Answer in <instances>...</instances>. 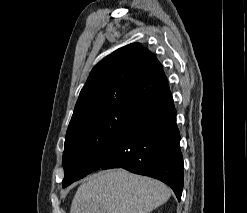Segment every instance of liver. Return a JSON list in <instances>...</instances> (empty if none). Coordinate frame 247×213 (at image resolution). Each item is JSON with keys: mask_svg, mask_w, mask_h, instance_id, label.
Instances as JSON below:
<instances>
[{"mask_svg": "<svg viewBox=\"0 0 247 213\" xmlns=\"http://www.w3.org/2000/svg\"><path fill=\"white\" fill-rule=\"evenodd\" d=\"M162 182L124 169L86 178L73 198L70 213H150L170 198Z\"/></svg>", "mask_w": 247, "mask_h": 213, "instance_id": "obj_1", "label": "liver"}]
</instances>
